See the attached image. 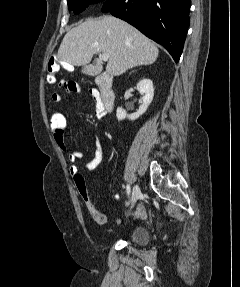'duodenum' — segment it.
<instances>
[{
    "mask_svg": "<svg viewBox=\"0 0 240 287\" xmlns=\"http://www.w3.org/2000/svg\"><path fill=\"white\" fill-rule=\"evenodd\" d=\"M100 99L107 112H110L115 104V95L112 91V78L104 73L96 78Z\"/></svg>",
    "mask_w": 240,
    "mask_h": 287,
    "instance_id": "1",
    "label": "duodenum"
}]
</instances>
